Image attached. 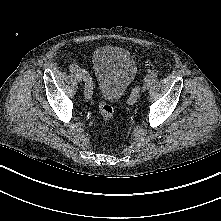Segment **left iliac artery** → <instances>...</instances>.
<instances>
[{
    "label": "left iliac artery",
    "instance_id": "1",
    "mask_svg": "<svg viewBox=\"0 0 221 221\" xmlns=\"http://www.w3.org/2000/svg\"><path fill=\"white\" fill-rule=\"evenodd\" d=\"M157 77V75L155 74V73H149L146 77H145V80H148V81H150V80H153V79H155ZM136 96H137V91H135L133 94H132V96H131V98L129 99V101H128V104H133L134 102H135V100H136Z\"/></svg>",
    "mask_w": 221,
    "mask_h": 221
}]
</instances>
